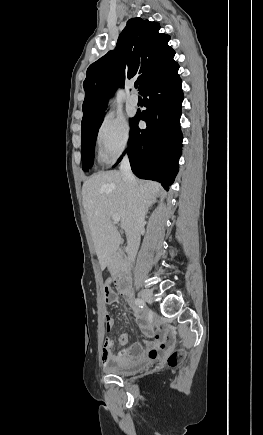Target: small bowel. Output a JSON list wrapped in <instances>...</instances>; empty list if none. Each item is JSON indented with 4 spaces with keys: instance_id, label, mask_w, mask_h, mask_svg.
I'll return each instance as SVG.
<instances>
[{
    "instance_id": "1",
    "label": "small bowel",
    "mask_w": 263,
    "mask_h": 435,
    "mask_svg": "<svg viewBox=\"0 0 263 435\" xmlns=\"http://www.w3.org/2000/svg\"><path fill=\"white\" fill-rule=\"evenodd\" d=\"M111 285L112 279H107L105 282V289H108L115 298L113 300L105 299L106 304H112L117 300V294L112 290ZM131 308L138 326L145 335V346H143L141 343H135L131 346H127L128 335L126 333L120 334L118 337V343L122 347H124L121 352H119L118 354H113L112 349H102V365L105 368H108L114 364L133 363L145 358L155 360L159 358L161 351L166 348L165 342H161L157 345L154 341L151 340V338L153 337H155L157 340L160 339V335L156 334L153 330L154 318L151 315L144 313L132 304ZM105 324L108 331L112 329L114 325V320L109 314H106L105 316Z\"/></svg>"
}]
</instances>
